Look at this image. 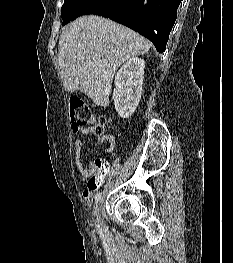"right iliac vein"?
<instances>
[{
	"label": "right iliac vein",
	"mask_w": 233,
	"mask_h": 263,
	"mask_svg": "<svg viewBox=\"0 0 233 263\" xmlns=\"http://www.w3.org/2000/svg\"><path fill=\"white\" fill-rule=\"evenodd\" d=\"M94 215L96 217V220L99 221L101 218V207L100 204L95 208Z\"/></svg>",
	"instance_id": "63e3f726"
}]
</instances>
